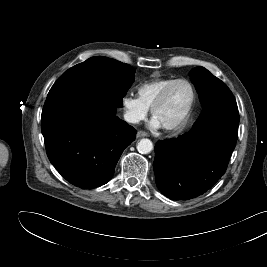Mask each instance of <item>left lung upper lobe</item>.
<instances>
[{
  "label": "left lung upper lobe",
  "mask_w": 267,
  "mask_h": 267,
  "mask_svg": "<svg viewBox=\"0 0 267 267\" xmlns=\"http://www.w3.org/2000/svg\"><path fill=\"white\" fill-rule=\"evenodd\" d=\"M190 76L203 107L202 113L193 126L200 125L207 119L218 115L232 114L237 121L239 120L235 98L220 79L203 67L192 69Z\"/></svg>",
  "instance_id": "1"
}]
</instances>
